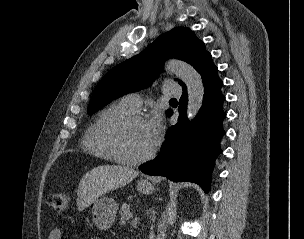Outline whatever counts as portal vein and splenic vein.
Instances as JSON below:
<instances>
[{
    "instance_id": "portal-vein-and-splenic-vein-1",
    "label": "portal vein and splenic vein",
    "mask_w": 304,
    "mask_h": 239,
    "mask_svg": "<svg viewBox=\"0 0 304 239\" xmlns=\"http://www.w3.org/2000/svg\"><path fill=\"white\" fill-rule=\"evenodd\" d=\"M138 221H139V218H134V219L132 220V224H133V225H134V224H137Z\"/></svg>"
}]
</instances>
